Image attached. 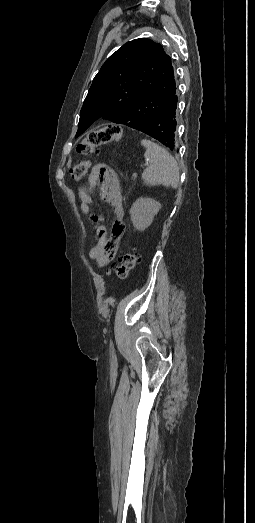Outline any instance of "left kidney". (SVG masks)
Returning <instances> with one entry per match:
<instances>
[{"mask_svg": "<svg viewBox=\"0 0 255 523\" xmlns=\"http://www.w3.org/2000/svg\"><path fill=\"white\" fill-rule=\"evenodd\" d=\"M160 208L161 204L155 202L152 198H138L130 210L134 228L142 232V230L151 226L154 216L158 214Z\"/></svg>", "mask_w": 255, "mask_h": 523, "instance_id": "1", "label": "left kidney"}]
</instances>
